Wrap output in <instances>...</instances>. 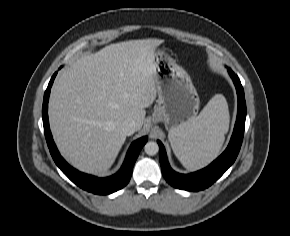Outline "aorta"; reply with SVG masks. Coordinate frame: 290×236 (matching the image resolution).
<instances>
[{
	"label": "aorta",
	"mask_w": 290,
	"mask_h": 236,
	"mask_svg": "<svg viewBox=\"0 0 290 236\" xmlns=\"http://www.w3.org/2000/svg\"><path fill=\"white\" fill-rule=\"evenodd\" d=\"M144 151L147 155L153 156L156 155L159 151V146L154 141H149L144 146Z\"/></svg>",
	"instance_id": "obj_1"
}]
</instances>
